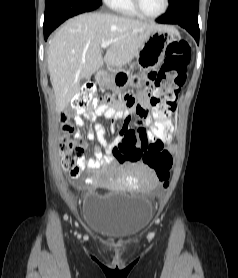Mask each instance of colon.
<instances>
[{
	"label": "colon",
	"instance_id": "colon-1",
	"mask_svg": "<svg viewBox=\"0 0 238 278\" xmlns=\"http://www.w3.org/2000/svg\"><path fill=\"white\" fill-rule=\"evenodd\" d=\"M190 59V47L184 40L170 43L166 48V56L163 65L158 70L159 76L152 81L154 86L153 98H150L151 115L153 123L149 126V132L153 140L159 136L172 135L174 126L172 115L176 110V100L186 78V67ZM124 100H134L132 96H125ZM102 100L97 97V88L94 84L85 85L80 93L72 99V108L92 113L96 111ZM137 104V103H136ZM138 114V113H137ZM66 130H71L69 124ZM146 136L142 144L122 143L113 148L114 158L122 163L125 161L142 160L151 168L164 188L171 177L172 153L171 149H162V144H155ZM62 154V166L73 177L80 174V160L84 153V147L80 142L64 138L60 144Z\"/></svg>",
	"mask_w": 238,
	"mask_h": 278
}]
</instances>
